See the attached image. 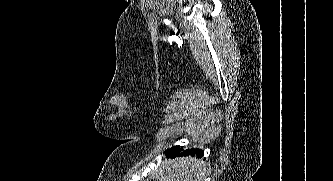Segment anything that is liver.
<instances>
[{
	"mask_svg": "<svg viewBox=\"0 0 333 181\" xmlns=\"http://www.w3.org/2000/svg\"><path fill=\"white\" fill-rule=\"evenodd\" d=\"M169 181H204L206 164L192 157L165 160L162 163Z\"/></svg>",
	"mask_w": 333,
	"mask_h": 181,
	"instance_id": "6515ba94",
	"label": "liver"
}]
</instances>
